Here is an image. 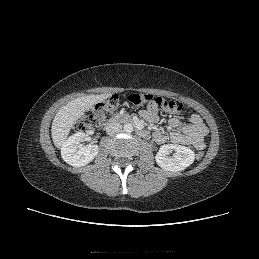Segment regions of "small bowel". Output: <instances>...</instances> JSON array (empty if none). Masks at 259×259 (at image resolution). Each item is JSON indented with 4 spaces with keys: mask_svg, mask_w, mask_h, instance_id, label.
<instances>
[{
    "mask_svg": "<svg viewBox=\"0 0 259 259\" xmlns=\"http://www.w3.org/2000/svg\"><path fill=\"white\" fill-rule=\"evenodd\" d=\"M140 115L145 120L156 121L158 119V109L150 104L147 109L140 111ZM168 124L171 129L169 135L162 131L154 133V140L158 144L170 141L175 144L191 145L198 150L205 148V136L208 134V128L199 115H191L186 123H182L177 117H172L169 119Z\"/></svg>",
    "mask_w": 259,
    "mask_h": 259,
    "instance_id": "1",
    "label": "small bowel"
}]
</instances>
